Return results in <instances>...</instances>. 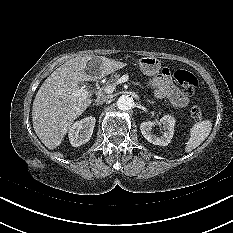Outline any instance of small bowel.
<instances>
[{"label":"small bowel","mask_w":233,"mask_h":233,"mask_svg":"<svg viewBox=\"0 0 233 233\" xmlns=\"http://www.w3.org/2000/svg\"><path fill=\"white\" fill-rule=\"evenodd\" d=\"M150 85L155 89V95L158 98L167 97L176 107H185L188 104V97L174 83L168 69L154 77Z\"/></svg>","instance_id":"1"}]
</instances>
